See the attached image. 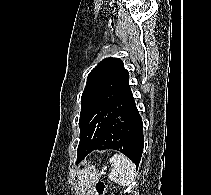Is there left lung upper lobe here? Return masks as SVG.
Listing matches in <instances>:
<instances>
[{
	"label": "left lung upper lobe",
	"mask_w": 211,
	"mask_h": 195,
	"mask_svg": "<svg viewBox=\"0 0 211 195\" xmlns=\"http://www.w3.org/2000/svg\"><path fill=\"white\" fill-rule=\"evenodd\" d=\"M128 71L119 58H106L90 72L81 97L77 159L92 151L107 124L130 103Z\"/></svg>",
	"instance_id": "5c2ea615"
}]
</instances>
